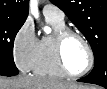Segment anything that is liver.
I'll list each match as a JSON object with an SVG mask.
<instances>
[{"label": "liver", "mask_w": 107, "mask_h": 89, "mask_svg": "<svg viewBox=\"0 0 107 89\" xmlns=\"http://www.w3.org/2000/svg\"><path fill=\"white\" fill-rule=\"evenodd\" d=\"M70 87L90 89L88 86L66 83L43 76L20 75L11 79L3 77L0 79V89H69Z\"/></svg>", "instance_id": "6515ba94"}]
</instances>
